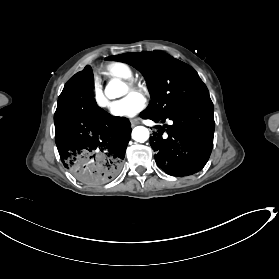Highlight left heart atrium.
<instances>
[{"label":"left heart atrium","mask_w":279,"mask_h":279,"mask_svg":"<svg viewBox=\"0 0 279 279\" xmlns=\"http://www.w3.org/2000/svg\"><path fill=\"white\" fill-rule=\"evenodd\" d=\"M146 105L143 96L130 93L122 100L115 102L111 106V114L116 117H133L141 112Z\"/></svg>","instance_id":"left-heart-atrium-1"}]
</instances>
